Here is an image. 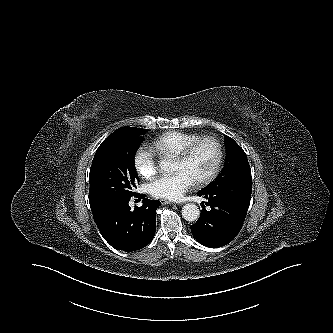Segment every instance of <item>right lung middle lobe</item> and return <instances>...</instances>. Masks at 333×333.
<instances>
[{
	"mask_svg": "<svg viewBox=\"0 0 333 333\" xmlns=\"http://www.w3.org/2000/svg\"><path fill=\"white\" fill-rule=\"evenodd\" d=\"M146 131L127 127L108 136L98 147L89 173L91 208L134 194L132 188L138 180L134 157Z\"/></svg>",
	"mask_w": 333,
	"mask_h": 333,
	"instance_id": "obj_1",
	"label": "right lung middle lobe"
}]
</instances>
